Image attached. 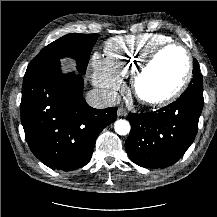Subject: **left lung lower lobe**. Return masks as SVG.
Wrapping results in <instances>:
<instances>
[{
  "instance_id": "obj_1",
  "label": "left lung lower lobe",
  "mask_w": 217,
  "mask_h": 217,
  "mask_svg": "<svg viewBox=\"0 0 217 217\" xmlns=\"http://www.w3.org/2000/svg\"><path fill=\"white\" fill-rule=\"evenodd\" d=\"M203 92L194 88L154 112L130 114L125 148L141 167L164 168L176 163L194 141L203 107Z\"/></svg>"
}]
</instances>
